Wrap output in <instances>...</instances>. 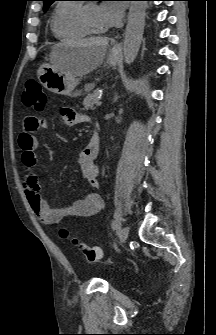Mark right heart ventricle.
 I'll return each mask as SVG.
<instances>
[{
    "instance_id": "right-heart-ventricle-1",
    "label": "right heart ventricle",
    "mask_w": 216,
    "mask_h": 335,
    "mask_svg": "<svg viewBox=\"0 0 216 335\" xmlns=\"http://www.w3.org/2000/svg\"><path fill=\"white\" fill-rule=\"evenodd\" d=\"M81 4L59 3L51 19V30L54 36L61 40L80 39L89 33L80 21Z\"/></svg>"
}]
</instances>
